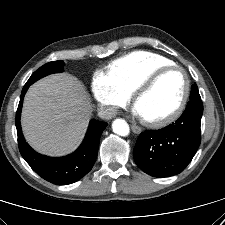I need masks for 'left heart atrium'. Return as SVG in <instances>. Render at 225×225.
Here are the masks:
<instances>
[{"label":"left heart atrium","instance_id":"obj_1","mask_svg":"<svg viewBox=\"0 0 225 225\" xmlns=\"http://www.w3.org/2000/svg\"><path fill=\"white\" fill-rule=\"evenodd\" d=\"M133 112H134L135 115L140 116L138 111L136 110V108L133 109Z\"/></svg>","mask_w":225,"mask_h":225}]
</instances>
